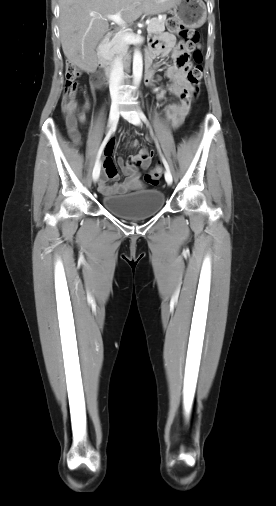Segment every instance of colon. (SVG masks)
<instances>
[{
    "mask_svg": "<svg viewBox=\"0 0 276 506\" xmlns=\"http://www.w3.org/2000/svg\"><path fill=\"white\" fill-rule=\"evenodd\" d=\"M167 28L170 32L179 35L186 48L193 53L194 65L188 70L186 78L193 87V95L199 94V86L202 79V46L199 40V34L196 31H188L182 28L177 18L171 17L167 21ZM80 71L72 64L66 67V82L62 97V111L66 120L69 134L75 143H79V133L77 131L79 109L77 105L78 79ZM184 100L187 104L191 96H186ZM162 170L156 167L144 175V180L149 184H157L161 177Z\"/></svg>",
    "mask_w": 276,
    "mask_h": 506,
    "instance_id": "colon-1",
    "label": "colon"
}]
</instances>
